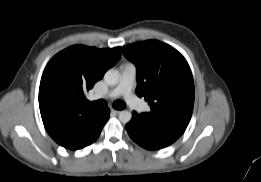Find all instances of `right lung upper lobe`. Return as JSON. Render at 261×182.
I'll list each match as a JSON object with an SVG mask.
<instances>
[{
    "instance_id": "1",
    "label": "right lung upper lobe",
    "mask_w": 261,
    "mask_h": 182,
    "mask_svg": "<svg viewBox=\"0 0 261 182\" xmlns=\"http://www.w3.org/2000/svg\"><path fill=\"white\" fill-rule=\"evenodd\" d=\"M120 56L121 47L98 49L75 45L49 61L41 78L39 108L45 129L59 145L73 144L83 125L97 115L99 110L85 104V93Z\"/></svg>"
}]
</instances>
